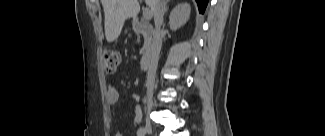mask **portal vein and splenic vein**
I'll return each instance as SVG.
<instances>
[{
	"label": "portal vein and splenic vein",
	"mask_w": 325,
	"mask_h": 136,
	"mask_svg": "<svg viewBox=\"0 0 325 136\" xmlns=\"http://www.w3.org/2000/svg\"><path fill=\"white\" fill-rule=\"evenodd\" d=\"M143 18L145 20H150L152 18V12L149 9L143 11Z\"/></svg>",
	"instance_id": "1"
}]
</instances>
